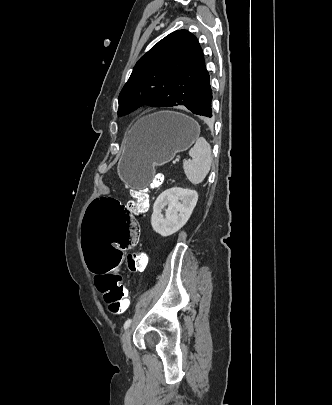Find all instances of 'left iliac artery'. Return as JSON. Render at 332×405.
Wrapping results in <instances>:
<instances>
[{
  "label": "left iliac artery",
  "mask_w": 332,
  "mask_h": 405,
  "mask_svg": "<svg viewBox=\"0 0 332 405\" xmlns=\"http://www.w3.org/2000/svg\"><path fill=\"white\" fill-rule=\"evenodd\" d=\"M131 322H132V319L126 320V322L124 323V329H127L131 325Z\"/></svg>",
  "instance_id": "1"
}]
</instances>
